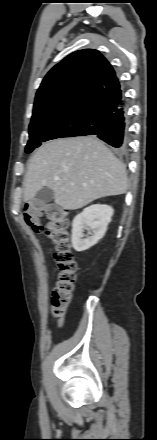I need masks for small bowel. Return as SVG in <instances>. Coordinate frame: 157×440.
I'll list each match as a JSON object with an SVG mask.
<instances>
[{"mask_svg": "<svg viewBox=\"0 0 157 440\" xmlns=\"http://www.w3.org/2000/svg\"><path fill=\"white\" fill-rule=\"evenodd\" d=\"M63 324H64V319L61 318V319L58 321V326H59V327H62Z\"/></svg>", "mask_w": 157, "mask_h": 440, "instance_id": "obj_1", "label": "small bowel"}]
</instances>
